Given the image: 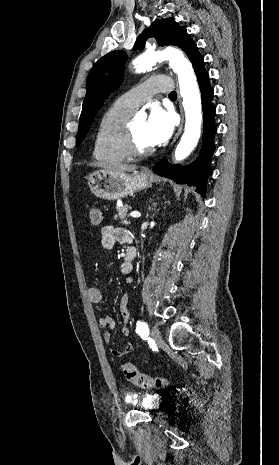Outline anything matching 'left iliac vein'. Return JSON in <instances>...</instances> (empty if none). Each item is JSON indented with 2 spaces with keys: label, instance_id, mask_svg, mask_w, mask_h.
I'll return each mask as SVG.
<instances>
[{
  "label": "left iliac vein",
  "instance_id": "obj_1",
  "mask_svg": "<svg viewBox=\"0 0 279 465\" xmlns=\"http://www.w3.org/2000/svg\"><path fill=\"white\" fill-rule=\"evenodd\" d=\"M150 336H151L152 340H153L157 345H159V344L162 343V336H161V333H160L159 329H158L156 326L152 327Z\"/></svg>",
  "mask_w": 279,
  "mask_h": 465
}]
</instances>
